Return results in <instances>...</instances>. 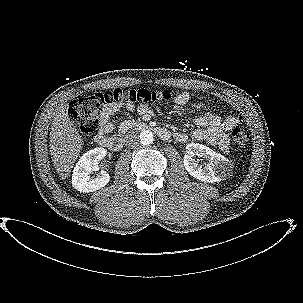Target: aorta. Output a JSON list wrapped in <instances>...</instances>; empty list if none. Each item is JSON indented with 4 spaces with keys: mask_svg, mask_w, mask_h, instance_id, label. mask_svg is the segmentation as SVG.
I'll return each mask as SVG.
<instances>
[{
    "mask_svg": "<svg viewBox=\"0 0 303 303\" xmlns=\"http://www.w3.org/2000/svg\"><path fill=\"white\" fill-rule=\"evenodd\" d=\"M140 143L143 145L152 144L154 141V135L150 130H143L139 134Z\"/></svg>",
    "mask_w": 303,
    "mask_h": 303,
    "instance_id": "762f6f07",
    "label": "aorta"
}]
</instances>
